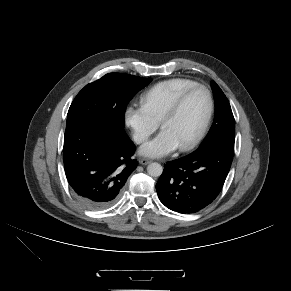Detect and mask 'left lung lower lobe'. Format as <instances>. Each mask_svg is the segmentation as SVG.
<instances>
[{"instance_id": "left-lung-lower-lobe-1", "label": "left lung lower lobe", "mask_w": 291, "mask_h": 291, "mask_svg": "<svg viewBox=\"0 0 291 291\" xmlns=\"http://www.w3.org/2000/svg\"><path fill=\"white\" fill-rule=\"evenodd\" d=\"M233 155V143L216 142L167 162L156 184L160 201L183 214L202 210L220 193Z\"/></svg>"}]
</instances>
